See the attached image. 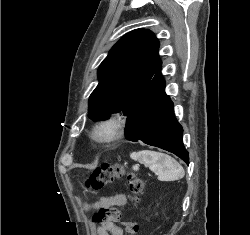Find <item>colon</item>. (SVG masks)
Wrapping results in <instances>:
<instances>
[{
  "label": "colon",
  "mask_w": 250,
  "mask_h": 235,
  "mask_svg": "<svg viewBox=\"0 0 250 235\" xmlns=\"http://www.w3.org/2000/svg\"><path fill=\"white\" fill-rule=\"evenodd\" d=\"M122 177H126L129 191L136 203L145 187V181L133 172L126 170L122 164H105L97 167L86 179L85 186L90 190L99 191ZM121 219L122 212L116 207H101L93 216V222L103 225H112L120 222ZM124 226L129 235H136L139 229L134 222H124Z\"/></svg>",
  "instance_id": "obj_1"
}]
</instances>
